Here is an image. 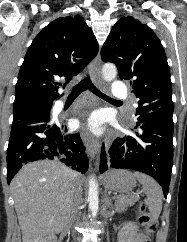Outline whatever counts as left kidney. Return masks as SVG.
<instances>
[{
    "mask_svg": "<svg viewBox=\"0 0 187 242\" xmlns=\"http://www.w3.org/2000/svg\"><path fill=\"white\" fill-rule=\"evenodd\" d=\"M138 227L134 222H128L118 232V242H133V237L137 233Z\"/></svg>",
    "mask_w": 187,
    "mask_h": 242,
    "instance_id": "obj_1",
    "label": "left kidney"
}]
</instances>
